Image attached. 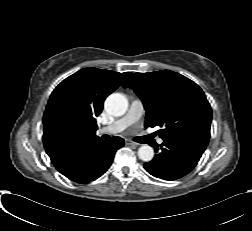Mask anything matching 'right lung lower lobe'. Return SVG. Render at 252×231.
<instances>
[{
	"mask_svg": "<svg viewBox=\"0 0 252 231\" xmlns=\"http://www.w3.org/2000/svg\"><path fill=\"white\" fill-rule=\"evenodd\" d=\"M124 146V140L113 137L109 142L99 138L88 139L78 144L73 159L62 173L77 183H88L103 175L112 164L115 152Z\"/></svg>",
	"mask_w": 252,
	"mask_h": 231,
	"instance_id": "98d812e1",
	"label": "right lung lower lobe"
}]
</instances>
